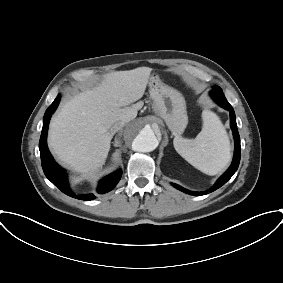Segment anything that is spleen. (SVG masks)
Masks as SVG:
<instances>
[{"instance_id":"obj_1","label":"spleen","mask_w":283,"mask_h":283,"mask_svg":"<svg viewBox=\"0 0 283 283\" xmlns=\"http://www.w3.org/2000/svg\"><path fill=\"white\" fill-rule=\"evenodd\" d=\"M202 120V130L195 139L176 136L174 147L178 154L196 169L207 175H216L230 162V141L215 113L204 110Z\"/></svg>"}]
</instances>
